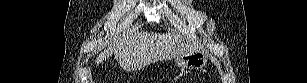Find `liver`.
<instances>
[{
	"instance_id": "1",
	"label": "liver",
	"mask_w": 307,
	"mask_h": 83,
	"mask_svg": "<svg viewBox=\"0 0 307 83\" xmlns=\"http://www.w3.org/2000/svg\"><path fill=\"white\" fill-rule=\"evenodd\" d=\"M187 50L181 39L171 34L127 32L101 52L97 64L109 59L114 53L119 65L125 69H138L160 60L177 59Z\"/></svg>"
}]
</instances>
